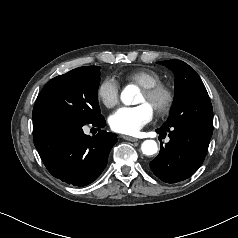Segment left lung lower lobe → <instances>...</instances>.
I'll return each mask as SVG.
<instances>
[{"label": "left lung lower lobe", "instance_id": "left-lung-lower-lobe-1", "mask_svg": "<svg viewBox=\"0 0 238 238\" xmlns=\"http://www.w3.org/2000/svg\"><path fill=\"white\" fill-rule=\"evenodd\" d=\"M156 132L168 134L170 141L165 146L161 144L158 156L150 162V168L167 183H176L193 175L205 159L213 133L184 126L160 128Z\"/></svg>", "mask_w": 238, "mask_h": 238}]
</instances>
